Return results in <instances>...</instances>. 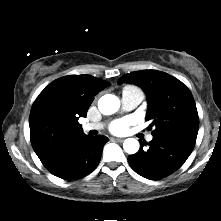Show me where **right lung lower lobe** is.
<instances>
[{"label": "right lung lower lobe", "mask_w": 221, "mask_h": 221, "mask_svg": "<svg viewBox=\"0 0 221 221\" xmlns=\"http://www.w3.org/2000/svg\"><path fill=\"white\" fill-rule=\"evenodd\" d=\"M108 138L102 135H81L66 143L43 165L55 176L74 180L91 173L98 165Z\"/></svg>", "instance_id": "obj_1"}]
</instances>
